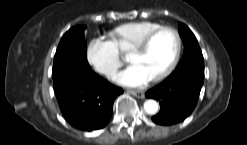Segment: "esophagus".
Instances as JSON below:
<instances>
[{
	"mask_svg": "<svg viewBox=\"0 0 247 145\" xmlns=\"http://www.w3.org/2000/svg\"><path fill=\"white\" fill-rule=\"evenodd\" d=\"M126 92L137 97V98H144L145 97V95L142 91L128 89V90H126Z\"/></svg>",
	"mask_w": 247,
	"mask_h": 145,
	"instance_id": "obj_1",
	"label": "esophagus"
}]
</instances>
